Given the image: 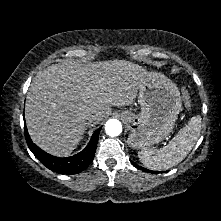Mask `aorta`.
I'll list each match as a JSON object with an SVG mask.
<instances>
[{"instance_id":"obj_1","label":"aorta","mask_w":221,"mask_h":221,"mask_svg":"<svg viewBox=\"0 0 221 221\" xmlns=\"http://www.w3.org/2000/svg\"><path fill=\"white\" fill-rule=\"evenodd\" d=\"M105 131L111 137L118 136L122 132V124L117 119H109L105 124Z\"/></svg>"}]
</instances>
